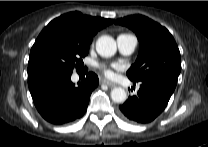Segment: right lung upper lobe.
<instances>
[{"label":"right lung upper lobe","instance_id":"cb5924a9","mask_svg":"<svg viewBox=\"0 0 208 147\" xmlns=\"http://www.w3.org/2000/svg\"><path fill=\"white\" fill-rule=\"evenodd\" d=\"M113 19L92 17L75 11L52 20L40 33L33 47L53 36H68L90 44L93 36L104 27L113 23ZM32 47V48H33ZM31 73L28 72V75Z\"/></svg>","mask_w":208,"mask_h":147}]
</instances>
